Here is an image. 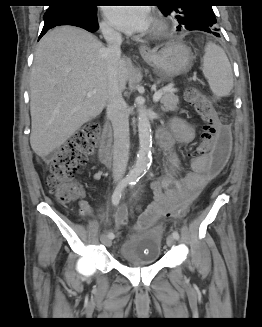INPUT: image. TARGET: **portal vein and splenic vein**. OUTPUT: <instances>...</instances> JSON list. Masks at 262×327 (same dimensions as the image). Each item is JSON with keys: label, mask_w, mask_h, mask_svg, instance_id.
Wrapping results in <instances>:
<instances>
[{"label": "portal vein and splenic vein", "mask_w": 262, "mask_h": 327, "mask_svg": "<svg viewBox=\"0 0 262 327\" xmlns=\"http://www.w3.org/2000/svg\"><path fill=\"white\" fill-rule=\"evenodd\" d=\"M164 91H175V89H173L172 85H169L168 87H165L164 89L155 92L153 96L154 102H158L161 99ZM87 96H91V92H89Z\"/></svg>", "instance_id": "obj_1"}]
</instances>
